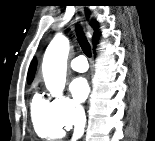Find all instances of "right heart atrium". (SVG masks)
I'll return each instance as SVG.
<instances>
[{
	"instance_id": "obj_1",
	"label": "right heart atrium",
	"mask_w": 155,
	"mask_h": 141,
	"mask_svg": "<svg viewBox=\"0 0 155 141\" xmlns=\"http://www.w3.org/2000/svg\"><path fill=\"white\" fill-rule=\"evenodd\" d=\"M54 114L63 128H70L84 119L83 109L68 97L52 100Z\"/></svg>"
}]
</instances>
